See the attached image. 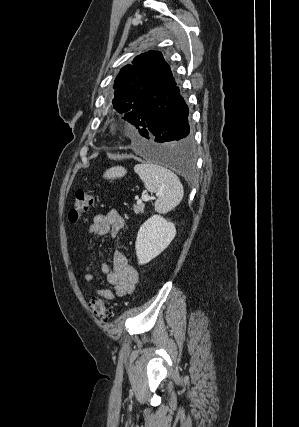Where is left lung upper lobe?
Returning a JSON list of instances; mask_svg holds the SVG:
<instances>
[{"label": "left lung upper lobe", "instance_id": "5c2ea615", "mask_svg": "<svg viewBox=\"0 0 299 427\" xmlns=\"http://www.w3.org/2000/svg\"><path fill=\"white\" fill-rule=\"evenodd\" d=\"M170 66L158 51H149L123 67L114 82V109L134 124L140 108L161 101L176 86Z\"/></svg>", "mask_w": 299, "mask_h": 427}]
</instances>
